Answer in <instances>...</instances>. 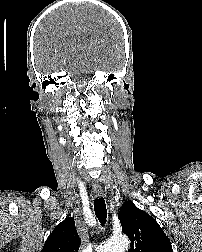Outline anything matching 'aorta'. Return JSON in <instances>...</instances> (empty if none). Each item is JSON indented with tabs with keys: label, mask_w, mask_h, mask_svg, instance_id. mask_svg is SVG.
Listing matches in <instances>:
<instances>
[{
	"label": "aorta",
	"mask_w": 202,
	"mask_h": 252,
	"mask_svg": "<svg viewBox=\"0 0 202 252\" xmlns=\"http://www.w3.org/2000/svg\"><path fill=\"white\" fill-rule=\"evenodd\" d=\"M130 246V241L126 236L111 239L100 246L98 252H126Z\"/></svg>",
	"instance_id": "762f6f07"
}]
</instances>
